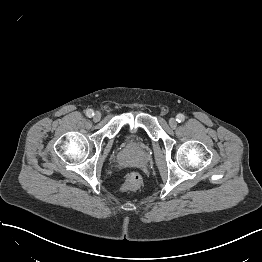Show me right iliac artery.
Segmentation results:
<instances>
[{
    "instance_id": "obj_1",
    "label": "right iliac artery",
    "mask_w": 262,
    "mask_h": 262,
    "mask_svg": "<svg viewBox=\"0 0 262 262\" xmlns=\"http://www.w3.org/2000/svg\"><path fill=\"white\" fill-rule=\"evenodd\" d=\"M86 115H87L89 118H91V117H93V115H94V111H93L92 109H88V110L86 111Z\"/></svg>"
}]
</instances>
